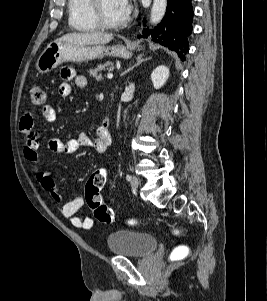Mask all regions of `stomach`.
<instances>
[{
  "instance_id": "obj_1",
  "label": "stomach",
  "mask_w": 267,
  "mask_h": 301,
  "mask_svg": "<svg viewBox=\"0 0 267 301\" xmlns=\"http://www.w3.org/2000/svg\"><path fill=\"white\" fill-rule=\"evenodd\" d=\"M131 55L132 53L121 44L106 47L100 44L86 45L54 41L48 44L41 53L36 68L44 74L64 62L79 63L104 56L129 58Z\"/></svg>"
}]
</instances>
